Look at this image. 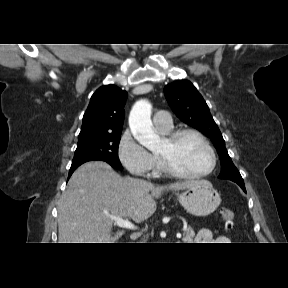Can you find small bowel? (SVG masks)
<instances>
[{
	"mask_svg": "<svg viewBox=\"0 0 288 288\" xmlns=\"http://www.w3.org/2000/svg\"><path fill=\"white\" fill-rule=\"evenodd\" d=\"M196 242L197 243H229L230 240L228 237L224 235H219L217 237H214L211 230L204 228V229L199 230L196 236Z\"/></svg>",
	"mask_w": 288,
	"mask_h": 288,
	"instance_id": "c3829d8e",
	"label": "small bowel"
}]
</instances>
